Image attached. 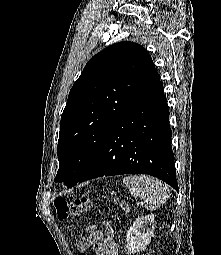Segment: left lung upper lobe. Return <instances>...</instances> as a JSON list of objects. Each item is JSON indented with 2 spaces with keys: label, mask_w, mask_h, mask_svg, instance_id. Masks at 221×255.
Segmentation results:
<instances>
[{
  "label": "left lung upper lobe",
  "mask_w": 221,
  "mask_h": 255,
  "mask_svg": "<svg viewBox=\"0 0 221 255\" xmlns=\"http://www.w3.org/2000/svg\"><path fill=\"white\" fill-rule=\"evenodd\" d=\"M158 80L149 53L137 43L119 42L93 56L71 88L61 116L55 181L74 186L113 124Z\"/></svg>",
  "instance_id": "5c2ea615"
}]
</instances>
